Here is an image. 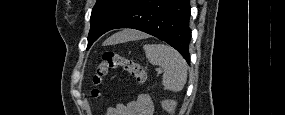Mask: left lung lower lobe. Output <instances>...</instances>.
<instances>
[{
    "instance_id": "0a47b994",
    "label": "left lung lower lobe",
    "mask_w": 285,
    "mask_h": 115,
    "mask_svg": "<svg viewBox=\"0 0 285 115\" xmlns=\"http://www.w3.org/2000/svg\"><path fill=\"white\" fill-rule=\"evenodd\" d=\"M189 0H133L110 24L107 32L133 28L174 47L189 63Z\"/></svg>"
}]
</instances>
